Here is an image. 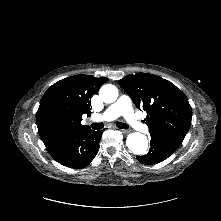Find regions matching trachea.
<instances>
[{"label":"trachea","instance_id":"obj_1","mask_svg":"<svg viewBox=\"0 0 221 221\" xmlns=\"http://www.w3.org/2000/svg\"><path fill=\"white\" fill-rule=\"evenodd\" d=\"M116 125L118 128L120 129H128L129 126L125 123H122V122H116ZM104 126L103 123H92L91 124V127L94 129V130H99V129H102Z\"/></svg>","mask_w":221,"mask_h":221}]
</instances>
